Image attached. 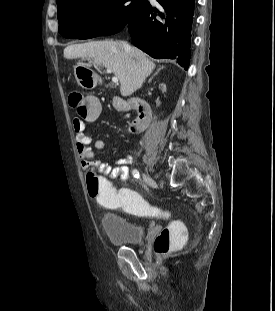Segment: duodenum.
<instances>
[{"instance_id": "duodenum-1", "label": "duodenum", "mask_w": 275, "mask_h": 311, "mask_svg": "<svg viewBox=\"0 0 275 311\" xmlns=\"http://www.w3.org/2000/svg\"><path fill=\"white\" fill-rule=\"evenodd\" d=\"M116 103L122 109H135L137 111V117L129 126L131 132L139 133L146 129L152 115L151 107L147 102L139 99L117 98Z\"/></svg>"}]
</instances>
